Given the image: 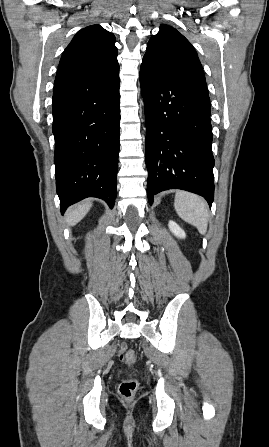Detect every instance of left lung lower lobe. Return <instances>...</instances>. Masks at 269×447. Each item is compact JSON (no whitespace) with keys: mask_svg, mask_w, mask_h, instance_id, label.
Returning a JSON list of instances; mask_svg holds the SVG:
<instances>
[{"mask_svg":"<svg viewBox=\"0 0 269 447\" xmlns=\"http://www.w3.org/2000/svg\"><path fill=\"white\" fill-rule=\"evenodd\" d=\"M140 86L145 102L147 192L183 189L214 197L210 99L197 81L143 59Z\"/></svg>","mask_w":269,"mask_h":447,"instance_id":"1","label":"left lung lower lobe"}]
</instances>
